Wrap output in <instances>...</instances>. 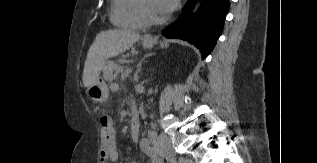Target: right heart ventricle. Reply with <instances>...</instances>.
<instances>
[{"mask_svg": "<svg viewBox=\"0 0 317 163\" xmlns=\"http://www.w3.org/2000/svg\"><path fill=\"white\" fill-rule=\"evenodd\" d=\"M110 18L123 29H144L147 21L140 10V0H112Z\"/></svg>", "mask_w": 317, "mask_h": 163, "instance_id": "e07e8e85", "label": "right heart ventricle"}]
</instances>
